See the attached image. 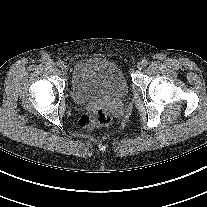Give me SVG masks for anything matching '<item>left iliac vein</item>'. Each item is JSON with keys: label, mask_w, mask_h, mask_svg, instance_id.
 Segmentation results:
<instances>
[{"label": "left iliac vein", "mask_w": 207, "mask_h": 207, "mask_svg": "<svg viewBox=\"0 0 207 207\" xmlns=\"http://www.w3.org/2000/svg\"><path fill=\"white\" fill-rule=\"evenodd\" d=\"M143 67H144V65H143L142 62H138V63H137V68H138L139 70H141Z\"/></svg>", "instance_id": "left-iliac-vein-1"}]
</instances>
